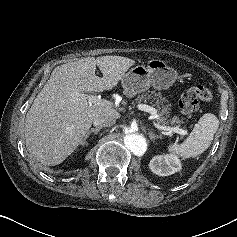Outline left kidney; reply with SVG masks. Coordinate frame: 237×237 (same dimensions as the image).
I'll return each mask as SVG.
<instances>
[{
	"mask_svg": "<svg viewBox=\"0 0 237 237\" xmlns=\"http://www.w3.org/2000/svg\"><path fill=\"white\" fill-rule=\"evenodd\" d=\"M149 167L158 176H169L182 169L180 159L173 154L154 156Z\"/></svg>",
	"mask_w": 237,
	"mask_h": 237,
	"instance_id": "5707ae66",
	"label": "left kidney"
}]
</instances>
